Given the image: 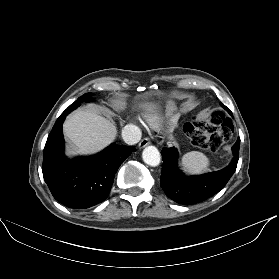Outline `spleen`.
Instances as JSON below:
<instances>
[{"instance_id":"1","label":"spleen","mask_w":279,"mask_h":279,"mask_svg":"<svg viewBox=\"0 0 279 279\" xmlns=\"http://www.w3.org/2000/svg\"><path fill=\"white\" fill-rule=\"evenodd\" d=\"M182 163L190 173H202L208 169L209 159L198 151H191L183 155Z\"/></svg>"}]
</instances>
